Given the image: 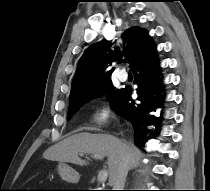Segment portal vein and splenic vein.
Instances as JSON below:
<instances>
[{
  "label": "portal vein and splenic vein",
  "mask_w": 210,
  "mask_h": 191,
  "mask_svg": "<svg viewBox=\"0 0 210 191\" xmlns=\"http://www.w3.org/2000/svg\"><path fill=\"white\" fill-rule=\"evenodd\" d=\"M82 155L83 154H81V156ZM92 157L96 159H103L101 155H93ZM107 177H108V171L106 169L101 170L98 174V182H105Z\"/></svg>",
  "instance_id": "18ae733b"
}]
</instances>
